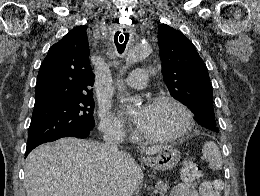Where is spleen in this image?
<instances>
[{
    "label": "spleen",
    "mask_w": 260,
    "mask_h": 196,
    "mask_svg": "<svg viewBox=\"0 0 260 196\" xmlns=\"http://www.w3.org/2000/svg\"><path fill=\"white\" fill-rule=\"evenodd\" d=\"M202 154L205 160H208L211 170H221L222 156L214 142H204L202 146Z\"/></svg>",
    "instance_id": "3e777b00"
}]
</instances>
